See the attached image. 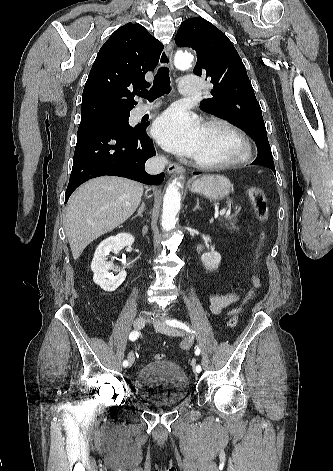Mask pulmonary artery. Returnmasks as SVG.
<instances>
[{
  "label": "pulmonary artery",
  "mask_w": 333,
  "mask_h": 471,
  "mask_svg": "<svg viewBox=\"0 0 333 471\" xmlns=\"http://www.w3.org/2000/svg\"><path fill=\"white\" fill-rule=\"evenodd\" d=\"M200 90V80L197 76L190 75L184 77L180 82V92L185 96L196 95ZM156 105H146L139 108V113L144 114L155 109Z\"/></svg>",
  "instance_id": "pulmonary-artery-1"
}]
</instances>
